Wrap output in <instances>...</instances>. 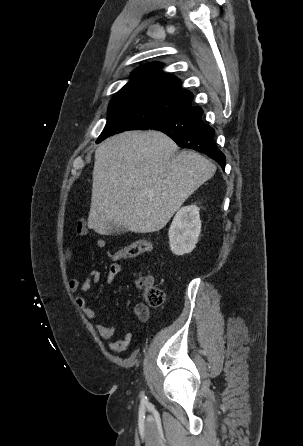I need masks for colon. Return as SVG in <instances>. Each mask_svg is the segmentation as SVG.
Instances as JSON below:
<instances>
[{
	"label": "colon",
	"mask_w": 303,
	"mask_h": 446,
	"mask_svg": "<svg viewBox=\"0 0 303 446\" xmlns=\"http://www.w3.org/2000/svg\"><path fill=\"white\" fill-rule=\"evenodd\" d=\"M153 250V243L147 239L136 240L112 254L116 261L135 258L140 254ZM138 284L145 287V299L150 306H159L164 300L163 290L157 286L146 285L144 280H139Z\"/></svg>",
	"instance_id": "obj_1"
}]
</instances>
